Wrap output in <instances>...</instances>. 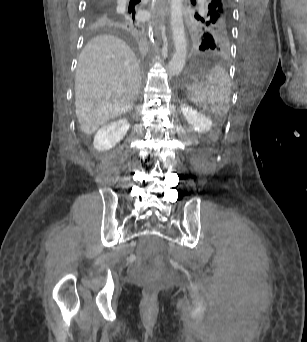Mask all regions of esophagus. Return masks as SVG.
Listing matches in <instances>:
<instances>
[{
  "mask_svg": "<svg viewBox=\"0 0 307 342\" xmlns=\"http://www.w3.org/2000/svg\"><path fill=\"white\" fill-rule=\"evenodd\" d=\"M164 3L165 0H153L152 10L154 17L152 19V25L158 30V33H160L161 30V16L163 14Z\"/></svg>",
  "mask_w": 307,
  "mask_h": 342,
  "instance_id": "1",
  "label": "esophagus"
}]
</instances>
